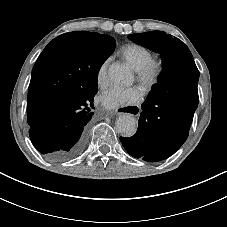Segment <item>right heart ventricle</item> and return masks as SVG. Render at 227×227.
I'll use <instances>...</instances> for the list:
<instances>
[{
  "label": "right heart ventricle",
  "mask_w": 227,
  "mask_h": 227,
  "mask_svg": "<svg viewBox=\"0 0 227 227\" xmlns=\"http://www.w3.org/2000/svg\"><path fill=\"white\" fill-rule=\"evenodd\" d=\"M121 53L135 71H140L152 59L151 51L138 43L124 45Z\"/></svg>",
  "instance_id": "e07e8e85"
}]
</instances>
